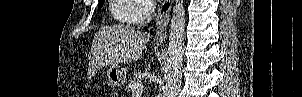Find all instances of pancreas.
I'll return each instance as SVG.
<instances>
[{
    "mask_svg": "<svg viewBox=\"0 0 302 97\" xmlns=\"http://www.w3.org/2000/svg\"><path fill=\"white\" fill-rule=\"evenodd\" d=\"M142 82V77L139 73H134L133 77H131L127 83V90L133 91V88L136 84L141 83Z\"/></svg>",
    "mask_w": 302,
    "mask_h": 97,
    "instance_id": "1",
    "label": "pancreas"
}]
</instances>
